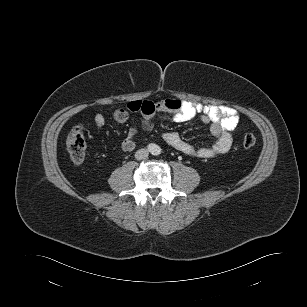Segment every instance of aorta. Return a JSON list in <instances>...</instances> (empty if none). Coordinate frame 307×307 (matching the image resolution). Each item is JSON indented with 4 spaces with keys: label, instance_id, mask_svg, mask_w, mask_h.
Wrapping results in <instances>:
<instances>
[{
    "label": "aorta",
    "instance_id": "obj_1",
    "mask_svg": "<svg viewBox=\"0 0 307 307\" xmlns=\"http://www.w3.org/2000/svg\"><path fill=\"white\" fill-rule=\"evenodd\" d=\"M153 155H159L161 153V148L158 145H152L150 149Z\"/></svg>",
    "mask_w": 307,
    "mask_h": 307
}]
</instances>
